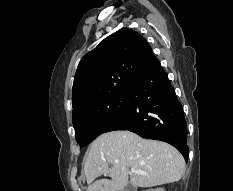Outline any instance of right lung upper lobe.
<instances>
[{"instance_id":"right-lung-upper-lobe-1","label":"right lung upper lobe","mask_w":233,"mask_h":191,"mask_svg":"<svg viewBox=\"0 0 233 191\" xmlns=\"http://www.w3.org/2000/svg\"><path fill=\"white\" fill-rule=\"evenodd\" d=\"M153 56L136 31L122 28L80 61L73 84V116L100 102L125 95Z\"/></svg>"}]
</instances>
